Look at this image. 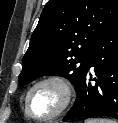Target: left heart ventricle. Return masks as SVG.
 Returning a JSON list of instances; mask_svg holds the SVG:
<instances>
[{
	"mask_svg": "<svg viewBox=\"0 0 118 123\" xmlns=\"http://www.w3.org/2000/svg\"><path fill=\"white\" fill-rule=\"evenodd\" d=\"M63 99L62 91L54 84H45L38 87L30 97V109L39 117L54 113Z\"/></svg>",
	"mask_w": 118,
	"mask_h": 123,
	"instance_id": "b2bd125f",
	"label": "left heart ventricle"
}]
</instances>
